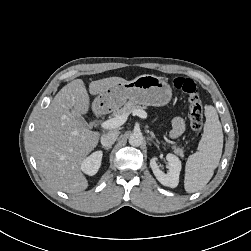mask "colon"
Segmentation results:
<instances>
[{"instance_id":"5ec220e1","label":"colon","mask_w":251,"mask_h":251,"mask_svg":"<svg viewBox=\"0 0 251 251\" xmlns=\"http://www.w3.org/2000/svg\"><path fill=\"white\" fill-rule=\"evenodd\" d=\"M173 86L188 96L190 124L196 134L200 136L203 127V105L195 82L189 78L177 77L173 80Z\"/></svg>"}]
</instances>
